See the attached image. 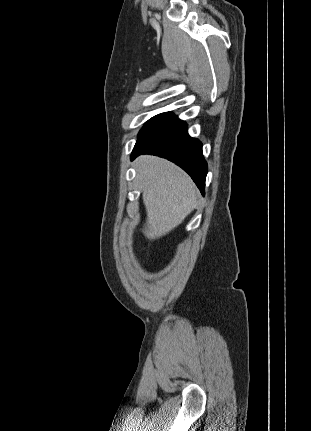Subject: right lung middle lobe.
<instances>
[{"label": "right lung middle lobe", "mask_w": 311, "mask_h": 431, "mask_svg": "<svg viewBox=\"0 0 311 431\" xmlns=\"http://www.w3.org/2000/svg\"><path fill=\"white\" fill-rule=\"evenodd\" d=\"M161 114H159V115H157V116H155V117H153V118H151L149 121H147L146 123H145V125H144V127L141 129V131L144 129V128H146L151 122H153L155 119H157L159 116H160ZM140 131V132H141ZM139 132V133H140Z\"/></svg>", "instance_id": "obj_1"}]
</instances>
